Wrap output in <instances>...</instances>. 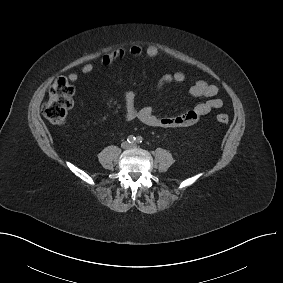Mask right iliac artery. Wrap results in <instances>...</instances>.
Segmentation results:
<instances>
[{"mask_svg":"<svg viewBox=\"0 0 283 283\" xmlns=\"http://www.w3.org/2000/svg\"><path fill=\"white\" fill-rule=\"evenodd\" d=\"M135 140H136V138H135V136H133V135H130V136H128V138H127L128 143H134Z\"/></svg>","mask_w":283,"mask_h":283,"instance_id":"obj_1","label":"right iliac artery"}]
</instances>
